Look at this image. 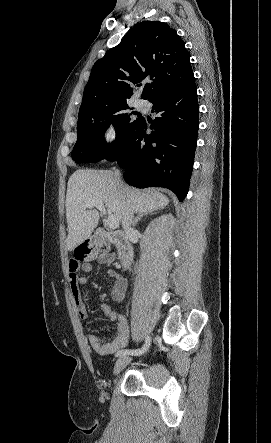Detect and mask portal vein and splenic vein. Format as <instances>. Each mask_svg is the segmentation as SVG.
Returning a JSON list of instances; mask_svg holds the SVG:
<instances>
[{
	"label": "portal vein and splenic vein",
	"mask_w": 271,
	"mask_h": 443,
	"mask_svg": "<svg viewBox=\"0 0 271 443\" xmlns=\"http://www.w3.org/2000/svg\"><path fill=\"white\" fill-rule=\"evenodd\" d=\"M85 208H90V210L91 208H97L100 214H103V216H107L106 223L107 225H109V227H111V229H116V227H118L119 222L117 218H115L113 214H108V212H106V208L104 204H102L101 200H95V202H88V204H85Z\"/></svg>",
	"instance_id": "18ae733b"
}]
</instances>
